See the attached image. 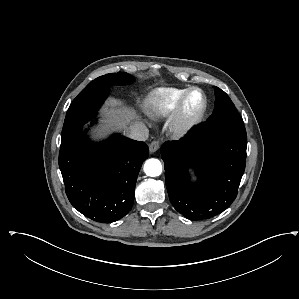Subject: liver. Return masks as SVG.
Returning <instances> with one entry per match:
<instances>
[{
	"label": "liver",
	"instance_id": "obj_1",
	"mask_svg": "<svg viewBox=\"0 0 299 299\" xmlns=\"http://www.w3.org/2000/svg\"><path fill=\"white\" fill-rule=\"evenodd\" d=\"M103 114L107 116V123L116 128L124 129L127 133L131 124L139 120V116L133 109L122 105L120 100L114 98H111L106 104Z\"/></svg>",
	"mask_w": 299,
	"mask_h": 299
}]
</instances>
